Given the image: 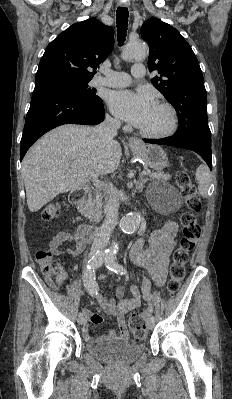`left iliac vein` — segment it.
I'll list each match as a JSON object with an SVG mask.
<instances>
[{
  "label": "left iliac vein",
  "mask_w": 232,
  "mask_h": 399,
  "mask_svg": "<svg viewBox=\"0 0 232 399\" xmlns=\"http://www.w3.org/2000/svg\"><path fill=\"white\" fill-rule=\"evenodd\" d=\"M147 327H148L149 329H152V328L154 327V322H153V321H150V322L147 324Z\"/></svg>",
  "instance_id": "obj_1"
}]
</instances>
